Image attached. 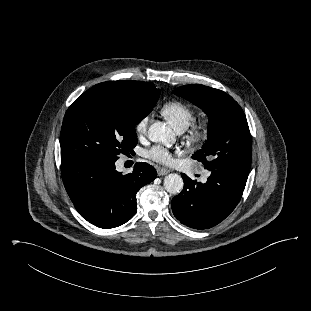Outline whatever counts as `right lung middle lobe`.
<instances>
[{
  "label": "right lung middle lobe",
  "instance_id": "right-lung-middle-lobe-1",
  "mask_svg": "<svg viewBox=\"0 0 311 311\" xmlns=\"http://www.w3.org/2000/svg\"><path fill=\"white\" fill-rule=\"evenodd\" d=\"M154 88L141 92L116 81L97 84L68 108L60 134L61 162H115L137 145L135 124L159 99Z\"/></svg>",
  "mask_w": 311,
  "mask_h": 311
}]
</instances>
